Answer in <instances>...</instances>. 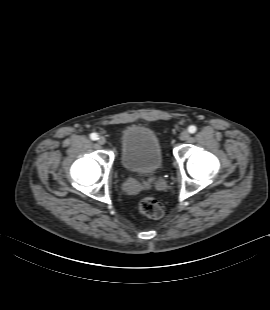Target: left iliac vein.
<instances>
[{
  "instance_id": "left-iliac-vein-1",
  "label": "left iliac vein",
  "mask_w": 270,
  "mask_h": 310,
  "mask_svg": "<svg viewBox=\"0 0 270 310\" xmlns=\"http://www.w3.org/2000/svg\"><path fill=\"white\" fill-rule=\"evenodd\" d=\"M189 137H190V134H189V132H188L187 130H183V131L180 133V135H179V139H180L181 141H185V140L189 139Z\"/></svg>"
}]
</instances>
